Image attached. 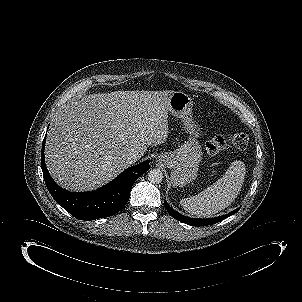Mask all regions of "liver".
<instances>
[{"label":"liver","instance_id":"1","mask_svg":"<svg viewBox=\"0 0 302 302\" xmlns=\"http://www.w3.org/2000/svg\"><path fill=\"white\" fill-rule=\"evenodd\" d=\"M167 91H115L85 95L54 116L45 161L53 179L67 190L100 187L129 164L125 156L163 144L168 136Z\"/></svg>","mask_w":302,"mask_h":302}]
</instances>
